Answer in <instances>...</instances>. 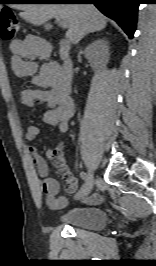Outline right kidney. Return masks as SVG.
Instances as JSON below:
<instances>
[{
	"label": "right kidney",
	"instance_id": "obj_1",
	"mask_svg": "<svg viewBox=\"0 0 156 266\" xmlns=\"http://www.w3.org/2000/svg\"><path fill=\"white\" fill-rule=\"evenodd\" d=\"M93 70L105 67L109 61V42L106 39H98L89 44L84 50Z\"/></svg>",
	"mask_w": 156,
	"mask_h": 266
}]
</instances>
